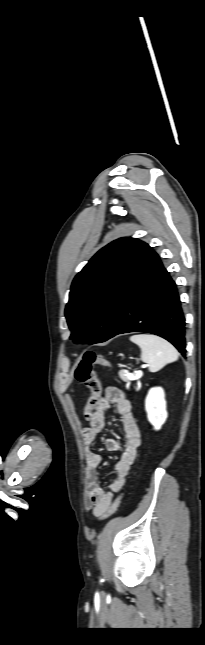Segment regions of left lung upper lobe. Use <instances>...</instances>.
Returning <instances> with one entry per match:
<instances>
[{
    "mask_svg": "<svg viewBox=\"0 0 205 645\" xmlns=\"http://www.w3.org/2000/svg\"><path fill=\"white\" fill-rule=\"evenodd\" d=\"M144 242L119 238L97 252L73 280L65 316L76 343H100L113 329L123 286Z\"/></svg>",
    "mask_w": 205,
    "mask_h": 645,
    "instance_id": "1",
    "label": "left lung upper lobe"
}]
</instances>
